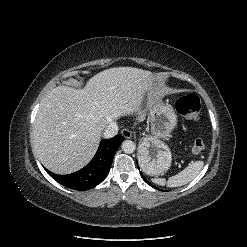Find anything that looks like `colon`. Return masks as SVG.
Here are the masks:
<instances>
[{
    "label": "colon",
    "mask_w": 247,
    "mask_h": 247,
    "mask_svg": "<svg viewBox=\"0 0 247 247\" xmlns=\"http://www.w3.org/2000/svg\"><path fill=\"white\" fill-rule=\"evenodd\" d=\"M175 108L185 118L196 121L199 118L200 99L195 94L180 97L175 103ZM204 148L205 143L202 139H196L192 145L194 153H200Z\"/></svg>",
    "instance_id": "colon-1"
}]
</instances>
